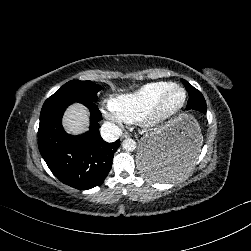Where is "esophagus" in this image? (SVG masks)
I'll return each instance as SVG.
<instances>
[{"instance_id": "1", "label": "esophagus", "mask_w": 251, "mask_h": 251, "mask_svg": "<svg viewBox=\"0 0 251 251\" xmlns=\"http://www.w3.org/2000/svg\"><path fill=\"white\" fill-rule=\"evenodd\" d=\"M123 137L127 138V137H130V135L128 133H124Z\"/></svg>"}]
</instances>
